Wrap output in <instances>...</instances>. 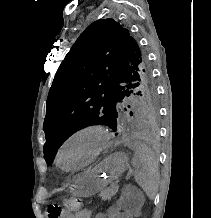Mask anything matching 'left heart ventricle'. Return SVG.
Here are the masks:
<instances>
[{
    "instance_id": "1",
    "label": "left heart ventricle",
    "mask_w": 211,
    "mask_h": 218,
    "mask_svg": "<svg viewBox=\"0 0 211 218\" xmlns=\"http://www.w3.org/2000/svg\"><path fill=\"white\" fill-rule=\"evenodd\" d=\"M100 145V140L94 135H83L70 144L64 150L63 164H79L86 161Z\"/></svg>"
}]
</instances>
